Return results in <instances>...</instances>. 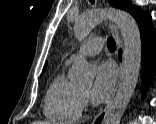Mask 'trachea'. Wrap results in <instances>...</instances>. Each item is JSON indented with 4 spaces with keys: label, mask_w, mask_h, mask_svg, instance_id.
Instances as JSON below:
<instances>
[{
    "label": "trachea",
    "mask_w": 156,
    "mask_h": 124,
    "mask_svg": "<svg viewBox=\"0 0 156 124\" xmlns=\"http://www.w3.org/2000/svg\"><path fill=\"white\" fill-rule=\"evenodd\" d=\"M91 2L93 3V0H91ZM107 47L109 50H115L116 49V43H115L113 38L109 37L107 39Z\"/></svg>",
    "instance_id": "obj_1"
}]
</instances>
